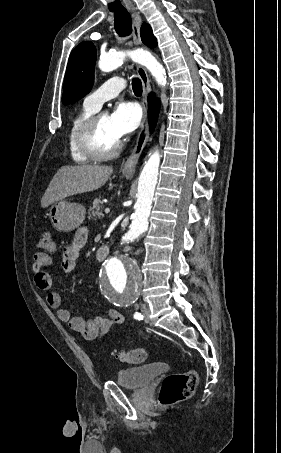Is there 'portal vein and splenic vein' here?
Returning <instances> with one entry per match:
<instances>
[{"instance_id": "1", "label": "portal vein and splenic vein", "mask_w": 281, "mask_h": 453, "mask_svg": "<svg viewBox=\"0 0 281 453\" xmlns=\"http://www.w3.org/2000/svg\"><path fill=\"white\" fill-rule=\"evenodd\" d=\"M105 212L110 213V208H105Z\"/></svg>"}]
</instances>
